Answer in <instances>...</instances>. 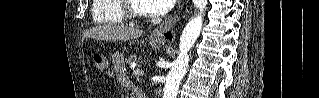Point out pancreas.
Instances as JSON below:
<instances>
[{
  "label": "pancreas",
  "mask_w": 319,
  "mask_h": 98,
  "mask_svg": "<svg viewBox=\"0 0 319 98\" xmlns=\"http://www.w3.org/2000/svg\"><path fill=\"white\" fill-rule=\"evenodd\" d=\"M137 60V56L136 55H130L129 58L126 59L127 63H131Z\"/></svg>",
  "instance_id": "1"
}]
</instances>
